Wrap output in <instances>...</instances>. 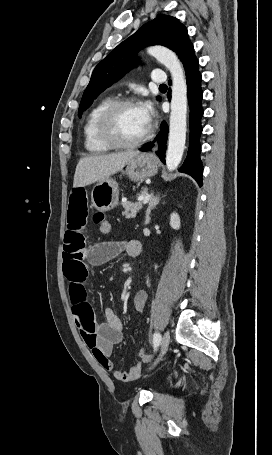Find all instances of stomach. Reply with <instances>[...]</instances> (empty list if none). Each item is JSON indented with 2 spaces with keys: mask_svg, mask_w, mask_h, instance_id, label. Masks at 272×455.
Here are the masks:
<instances>
[{
  "mask_svg": "<svg viewBox=\"0 0 272 455\" xmlns=\"http://www.w3.org/2000/svg\"><path fill=\"white\" fill-rule=\"evenodd\" d=\"M156 159L149 154H138L127 164L124 173L132 181H139L152 177L157 173ZM119 200L118 183L113 178L98 182L91 192L93 207L101 212H106L117 206Z\"/></svg>",
  "mask_w": 272,
  "mask_h": 455,
  "instance_id": "obj_1",
  "label": "stomach"
}]
</instances>
